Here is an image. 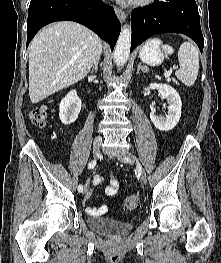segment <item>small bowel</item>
Returning a JSON list of instances; mask_svg holds the SVG:
<instances>
[{
	"label": "small bowel",
	"instance_id": "1",
	"mask_svg": "<svg viewBox=\"0 0 221 263\" xmlns=\"http://www.w3.org/2000/svg\"><path fill=\"white\" fill-rule=\"evenodd\" d=\"M104 180H105V177L100 176V175H95L92 177V182L95 185H99V184L103 183ZM118 188H119L118 180L112 174H109L108 175V184L105 187V194L107 196H114L117 193ZM90 196H91V192L86 191L84 201L86 202L90 198ZM107 209H108L107 205H102L99 207L86 206L87 212H89L92 215L103 214L107 211Z\"/></svg>",
	"mask_w": 221,
	"mask_h": 263
}]
</instances>
